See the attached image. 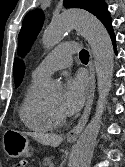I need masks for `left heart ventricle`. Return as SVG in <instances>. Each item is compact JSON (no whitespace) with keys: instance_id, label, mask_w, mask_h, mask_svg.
<instances>
[{"instance_id":"b2bd125f","label":"left heart ventricle","mask_w":125,"mask_h":167,"mask_svg":"<svg viewBox=\"0 0 125 167\" xmlns=\"http://www.w3.org/2000/svg\"><path fill=\"white\" fill-rule=\"evenodd\" d=\"M60 101H61V97L60 95H54L50 98L47 99L48 104L56 111L61 112L60 109Z\"/></svg>"}]
</instances>
